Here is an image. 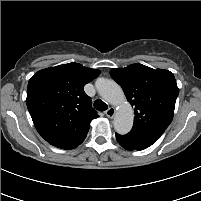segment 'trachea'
<instances>
[{
  "mask_svg": "<svg viewBox=\"0 0 201 201\" xmlns=\"http://www.w3.org/2000/svg\"><path fill=\"white\" fill-rule=\"evenodd\" d=\"M94 108L97 109L98 111H105L108 109V105L103 102L101 99H97L94 102Z\"/></svg>",
  "mask_w": 201,
  "mask_h": 201,
  "instance_id": "trachea-1",
  "label": "trachea"
}]
</instances>
